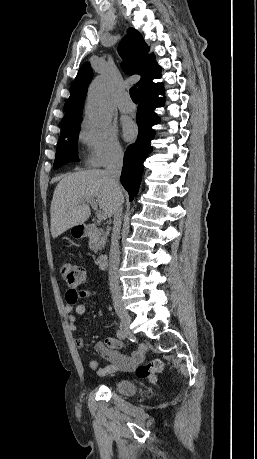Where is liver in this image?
I'll use <instances>...</instances> for the list:
<instances>
[{
    "mask_svg": "<svg viewBox=\"0 0 257 459\" xmlns=\"http://www.w3.org/2000/svg\"><path fill=\"white\" fill-rule=\"evenodd\" d=\"M89 199L96 201L106 217L113 215L114 195L105 170L75 172L65 176L57 184L50 208L53 238L74 226L84 224L89 219Z\"/></svg>",
    "mask_w": 257,
    "mask_h": 459,
    "instance_id": "liver-1",
    "label": "liver"
}]
</instances>
